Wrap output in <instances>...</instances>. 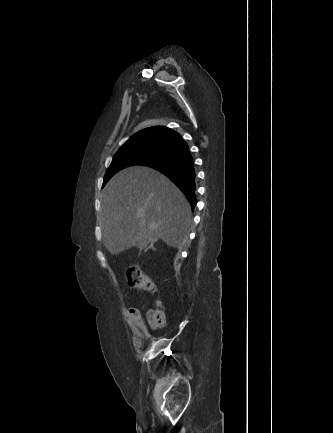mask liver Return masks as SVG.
Returning <instances> with one entry per match:
<instances>
[{"mask_svg":"<svg viewBox=\"0 0 333 433\" xmlns=\"http://www.w3.org/2000/svg\"><path fill=\"white\" fill-rule=\"evenodd\" d=\"M190 223V204L184 194L152 168L123 169L102 191L99 224L112 255L133 246L144 249L158 239L179 247Z\"/></svg>","mask_w":333,"mask_h":433,"instance_id":"6515ba94","label":"liver"}]
</instances>
